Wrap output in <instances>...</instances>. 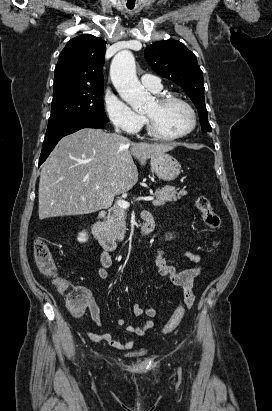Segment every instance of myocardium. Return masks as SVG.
<instances>
[{"label": "myocardium", "mask_w": 272, "mask_h": 411, "mask_svg": "<svg viewBox=\"0 0 272 411\" xmlns=\"http://www.w3.org/2000/svg\"><path fill=\"white\" fill-rule=\"evenodd\" d=\"M155 100L161 107L167 106L172 103H180L184 105L191 113L192 122L190 127L186 131L176 135H167L162 133L156 127L155 123L153 122L150 116L145 114L146 129L150 136L161 141H176L187 137L195 130L197 126V113L194 107L187 100L173 95H159L156 97Z\"/></svg>", "instance_id": "f54148a6"}]
</instances>
